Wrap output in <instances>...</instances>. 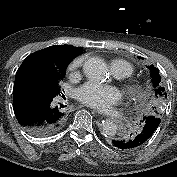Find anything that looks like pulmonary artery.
Wrapping results in <instances>:
<instances>
[{
    "mask_svg": "<svg viewBox=\"0 0 177 177\" xmlns=\"http://www.w3.org/2000/svg\"><path fill=\"white\" fill-rule=\"evenodd\" d=\"M113 73L118 78H124L125 77L124 73L122 72V70L120 69V67L118 65H115L113 67Z\"/></svg>",
    "mask_w": 177,
    "mask_h": 177,
    "instance_id": "e3ab8cb5",
    "label": "pulmonary artery"
}]
</instances>
